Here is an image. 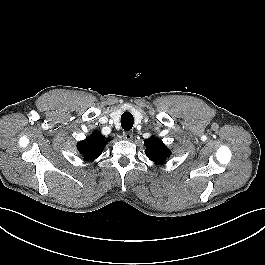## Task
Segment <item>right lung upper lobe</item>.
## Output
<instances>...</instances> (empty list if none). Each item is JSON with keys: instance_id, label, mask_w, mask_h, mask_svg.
I'll list each match as a JSON object with an SVG mask.
<instances>
[{"instance_id": "cb5924a9", "label": "right lung upper lobe", "mask_w": 265, "mask_h": 265, "mask_svg": "<svg viewBox=\"0 0 265 265\" xmlns=\"http://www.w3.org/2000/svg\"><path fill=\"white\" fill-rule=\"evenodd\" d=\"M109 139L105 138L99 131H94L90 137L80 141L77 148L86 160H93L100 156Z\"/></svg>"}]
</instances>
